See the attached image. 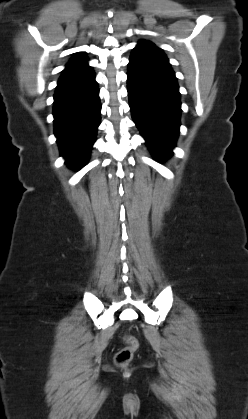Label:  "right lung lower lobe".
Wrapping results in <instances>:
<instances>
[{
	"mask_svg": "<svg viewBox=\"0 0 248 419\" xmlns=\"http://www.w3.org/2000/svg\"><path fill=\"white\" fill-rule=\"evenodd\" d=\"M99 88L91 67L82 65L62 72L54 95L55 136L70 167L85 165L100 125Z\"/></svg>",
	"mask_w": 248,
	"mask_h": 419,
	"instance_id": "right-lung-lower-lobe-1",
	"label": "right lung lower lobe"
}]
</instances>
